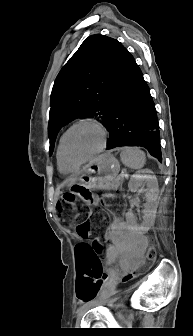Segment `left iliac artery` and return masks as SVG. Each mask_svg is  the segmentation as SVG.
I'll return each mask as SVG.
<instances>
[{"mask_svg":"<svg viewBox=\"0 0 193 336\" xmlns=\"http://www.w3.org/2000/svg\"><path fill=\"white\" fill-rule=\"evenodd\" d=\"M93 302H94V301H91V303H87V304H85V305H88V304H89V305H92ZM85 305H83L82 307H80V308L78 309V313L85 309Z\"/></svg>","mask_w":193,"mask_h":336,"instance_id":"1","label":"left iliac artery"}]
</instances>
